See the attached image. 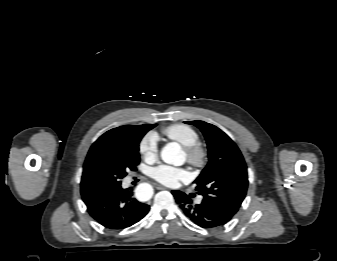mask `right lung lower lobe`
<instances>
[{
  "instance_id": "right-lung-lower-lobe-1",
  "label": "right lung lower lobe",
  "mask_w": 337,
  "mask_h": 261,
  "mask_svg": "<svg viewBox=\"0 0 337 261\" xmlns=\"http://www.w3.org/2000/svg\"><path fill=\"white\" fill-rule=\"evenodd\" d=\"M89 214L108 229H124L140 221L149 211V205L133 198L121 184L86 204Z\"/></svg>"
}]
</instances>
